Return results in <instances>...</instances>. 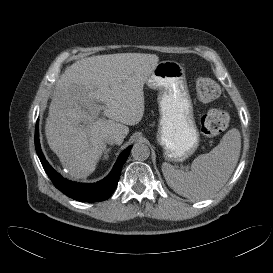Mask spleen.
Segmentation results:
<instances>
[{"instance_id":"3e777b00","label":"spleen","mask_w":273,"mask_h":273,"mask_svg":"<svg viewBox=\"0 0 273 273\" xmlns=\"http://www.w3.org/2000/svg\"><path fill=\"white\" fill-rule=\"evenodd\" d=\"M241 150L238 129L229 130L220 143L209 153L194 159L191 170L175 169L169 163L162 164L167 184L179 195L192 199H205L218 192L233 173Z\"/></svg>"}]
</instances>
